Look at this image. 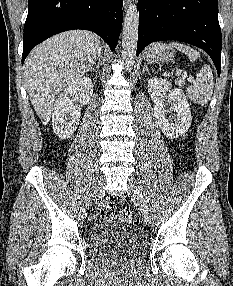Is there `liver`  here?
Instances as JSON below:
<instances>
[{"mask_svg": "<svg viewBox=\"0 0 233 286\" xmlns=\"http://www.w3.org/2000/svg\"><path fill=\"white\" fill-rule=\"evenodd\" d=\"M100 53V38L92 32L60 33L35 47L25 60V82L31 103L47 124L55 98L92 68Z\"/></svg>", "mask_w": 233, "mask_h": 286, "instance_id": "obj_1", "label": "liver"}]
</instances>
